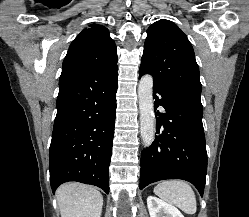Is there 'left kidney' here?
<instances>
[{
	"instance_id": "left-kidney-1",
	"label": "left kidney",
	"mask_w": 249,
	"mask_h": 217,
	"mask_svg": "<svg viewBox=\"0 0 249 217\" xmlns=\"http://www.w3.org/2000/svg\"><path fill=\"white\" fill-rule=\"evenodd\" d=\"M147 207L150 217H184L175 206L155 196H148Z\"/></svg>"
}]
</instances>
